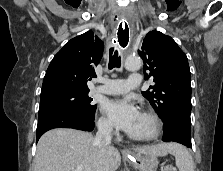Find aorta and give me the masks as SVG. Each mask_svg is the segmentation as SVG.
<instances>
[{
  "label": "aorta",
  "mask_w": 223,
  "mask_h": 171,
  "mask_svg": "<svg viewBox=\"0 0 223 171\" xmlns=\"http://www.w3.org/2000/svg\"><path fill=\"white\" fill-rule=\"evenodd\" d=\"M141 67V59L137 56H129L125 60V68L129 71L138 70Z\"/></svg>",
  "instance_id": "obj_1"
}]
</instances>
